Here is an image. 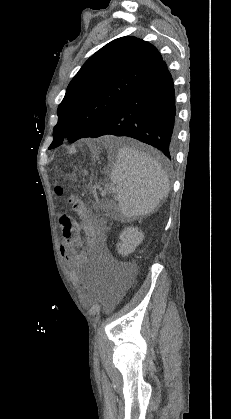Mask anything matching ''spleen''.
Instances as JSON below:
<instances>
[{
	"label": "spleen",
	"mask_w": 231,
	"mask_h": 419,
	"mask_svg": "<svg viewBox=\"0 0 231 419\" xmlns=\"http://www.w3.org/2000/svg\"><path fill=\"white\" fill-rule=\"evenodd\" d=\"M110 179L109 189L124 217L154 212L169 192L168 177L158 161L131 147L118 149Z\"/></svg>",
	"instance_id": "3e777b00"
}]
</instances>
